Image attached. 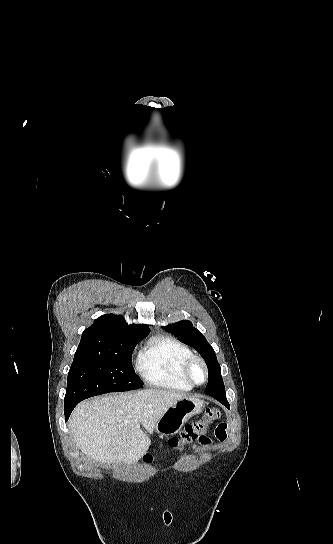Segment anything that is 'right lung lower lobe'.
I'll return each instance as SVG.
<instances>
[{
    "mask_svg": "<svg viewBox=\"0 0 333 544\" xmlns=\"http://www.w3.org/2000/svg\"><path fill=\"white\" fill-rule=\"evenodd\" d=\"M78 404V402H75V403H65L64 402V405H65V420L67 421L72 410L74 409V407Z\"/></svg>",
    "mask_w": 333,
    "mask_h": 544,
    "instance_id": "right-lung-lower-lobe-1",
    "label": "right lung lower lobe"
}]
</instances>
